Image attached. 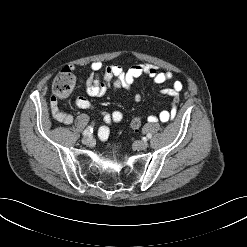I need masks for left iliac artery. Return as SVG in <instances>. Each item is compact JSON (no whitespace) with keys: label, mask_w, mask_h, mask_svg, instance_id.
<instances>
[{"label":"left iliac artery","mask_w":247,"mask_h":247,"mask_svg":"<svg viewBox=\"0 0 247 247\" xmlns=\"http://www.w3.org/2000/svg\"><path fill=\"white\" fill-rule=\"evenodd\" d=\"M147 139H150L151 137H152V135L149 133V134H147Z\"/></svg>","instance_id":"44dca946"}]
</instances>
